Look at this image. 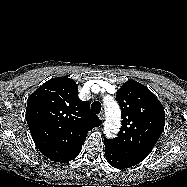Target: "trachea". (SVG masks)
Returning <instances> with one entry per match:
<instances>
[{"label":"trachea","instance_id":"3493384b","mask_svg":"<svg viewBox=\"0 0 187 187\" xmlns=\"http://www.w3.org/2000/svg\"><path fill=\"white\" fill-rule=\"evenodd\" d=\"M101 107H102L101 104L96 101L91 104V110L97 114L100 113Z\"/></svg>","mask_w":187,"mask_h":187}]
</instances>
